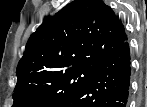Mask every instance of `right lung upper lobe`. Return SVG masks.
<instances>
[{
  "label": "right lung upper lobe",
  "instance_id": "1",
  "mask_svg": "<svg viewBox=\"0 0 147 107\" xmlns=\"http://www.w3.org/2000/svg\"><path fill=\"white\" fill-rule=\"evenodd\" d=\"M126 39L122 22L102 0H75L45 18L30 36L17 75L98 67Z\"/></svg>",
  "mask_w": 147,
  "mask_h": 107
}]
</instances>
